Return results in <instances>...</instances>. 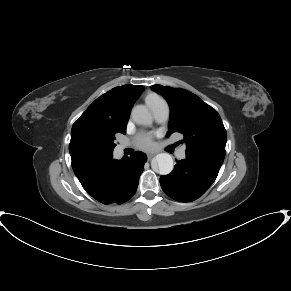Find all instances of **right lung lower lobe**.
Wrapping results in <instances>:
<instances>
[{
  "instance_id": "1",
  "label": "right lung lower lobe",
  "mask_w": 291,
  "mask_h": 291,
  "mask_svg": "<svg viewBox=\"0 0 291 291\" xmlns=\"http://www.w3.org/2000/svg\"><path fill=\"white\" fill-rule=\"evenodd\" d=\"M147 156L135 152L121 161L113 154L89 156L72 160V168L81 185L103 204H121L136 192Z\"/></svg>"
}]
</instances>
